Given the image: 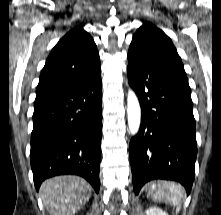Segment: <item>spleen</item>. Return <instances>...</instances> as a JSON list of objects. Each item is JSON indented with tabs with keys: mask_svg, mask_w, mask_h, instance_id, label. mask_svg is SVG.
<instances>
[{
	"mask_svg": "<svg viewBox=\"0 0 221 215\" xmlns=\"http://www.w3.org/2000/svg\"><path fill=\"white\" fill-rule=\"evenodd\" d=\"M149 195L157 202L164 201L177 206L178 210L183 198L182 188L175 182L153 183L149 188Z\"/></svg>",
	"mask_w": 221,
	"mask_h": 215,
	"instance_id": "spleen-1",
	"label": "spleen"
}]
</instances>
